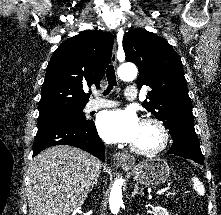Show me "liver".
<instances>
[{"label":"liver","mask_w":221,"mask_h":215,"mask_svg":"<svg viewBox=\"0 0 221 215\" xmlns=\"http://www.w3.org/2000/svg\"><path fill=\"white\" fill-rule=\"evenodd\" d=\"M102 162L68 145L40 152L30 164L29 215H69L85 201Z\"/></svg>","instance_id":"obj_1"}]
</instances>
